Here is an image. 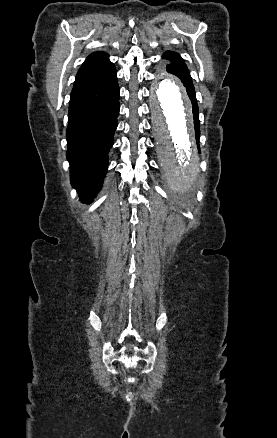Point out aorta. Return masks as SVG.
<instances>
[{
  "label": "aorta",
  "mask_w": 277,
  "mask_h": 438,
  "mask_svg": "<svg viewBox=\"0 0 277 438\" xmlns=\"http://www.w3.org/2000/svg\"><path fill=\"white\" fill-rule=\"evenodd\" d=\"M151 102L153 127L171 188L179 192L191 190L200 172V159L194 145L190 103L165 71L156 73Z\"/></svg>",
  "instance_id": "aorta-1"
}]
</instances>
